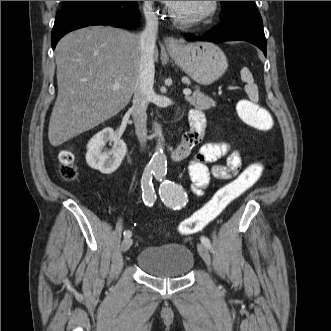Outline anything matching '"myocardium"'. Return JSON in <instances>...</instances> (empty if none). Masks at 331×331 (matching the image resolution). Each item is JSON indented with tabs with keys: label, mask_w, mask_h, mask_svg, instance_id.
<instances>
[{
	"label": "myocardium",
	"mask_w": 331,
	"mask_h": 331,
	"mask_svg": "<svg viewBox=\"0 0 331 331\" xmlns=\"http://www.w3.org/2000/svg\"><path fill=\"white\" fill-rule=\"evenodd\" d=\"M217 9H218V1H208L207 7L200 13L193 16L184 17L178 15L174 12L171 6H169L168 8V14L175 22L181 25L193 26L200 24L206 21L207 19L211 18L216 13Z\"/></svg>",
	"instance_id": "myocardium-1"
}]
</instances>
